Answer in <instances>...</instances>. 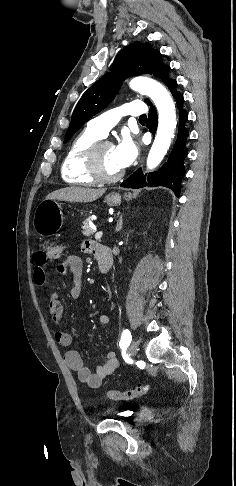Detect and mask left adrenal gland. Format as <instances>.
I'll use <instances>...</instances> for the list:
<instances>
[{
	"label": "left adrenal gland",
	"instance_id": "left-adrenal-gland-1",
	"mask_svg": "<svg viewBox=\"0 0 236 486\" xmlns=\"http://www.w3.org/2000/svg\"><path fill=\"white\" fill-rule=\"evenodd\" d=\"M122 225H123V220H122V215H121L120 219L117 223V231H120L122 229Z\"/></svg>",
	"mask_w": 236,
	"mask_h": 486
}]
</instances>
